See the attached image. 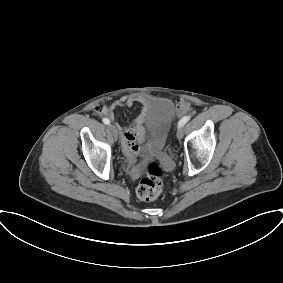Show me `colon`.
I'll use <instances>...</instances> for the list:
<instances>
[{
	"label": "colon",
	"mask_w": 283,
	"mask_h": 283,
	"mask_svg": "<svg viewBox=\"0 0 283 283\" xmlns=\"http://www.w3.org/2000/svg\"><path fill=\"white\" fill-rule=\"evenodd\" d=\"M163 170L155 162H149L137 187V196L143 201L157 199L163 191Z\"/></svg>",
	"instance_id": "5ec220e1"
}]
</instances>
